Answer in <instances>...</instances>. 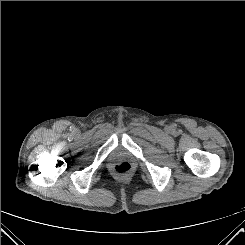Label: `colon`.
Here are the masks:
<instances>
[{"instance_id":"1","label":"colon","mask_w":245,"mask_h":245,"mask_svg":"<svg viewBox=\"0 0 245 245\" xmlns=\"http://www.w3.org/2000/svg\"><path fill=\"white\" fill-rule=\"evenodd\" d=\"M132 171V166L128 162H122L115 166L114 172L121 177L129 175Z\"/></svg>"}]
</instances>
